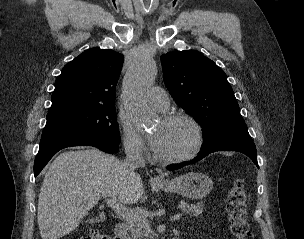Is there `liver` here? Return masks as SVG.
<instances>
[{
  "label": "liver",
  "instance_id": "1",
  "mask_svg": "<svg viewBox=\"0 0 304 239\" xmlns=\"http://www.w3.org/2000/svg\"><path fill=\"white\" fill-rule=\"evenodd\" d=\"M111 197L125 205L147 199L140 176H130L115 156L93 148L61 153L40 189L37 223L42 239L73 232L101 198Z\"/></svg>",
  "mask_w": 304,
  "mask_h": 239
}]
</instances>
